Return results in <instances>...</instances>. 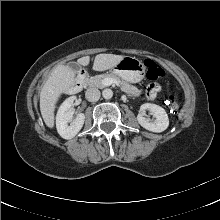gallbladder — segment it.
Wrapping results in <instances>:
<instances>
[{"label":"gallbladder","instance_id":"1","mask_svg":"<svg viewBox=\"0 0 220 220\" xmlns=\"http://www.w3.org/2000/svg\"><path fill=\"white\" fill-rule=\"evenodd\" d=\"M70 67L75 71L78 72L80 70V66L77 63H71Z\"/></svg>","mask_w":220,"mask_h":220}]
</instances>
